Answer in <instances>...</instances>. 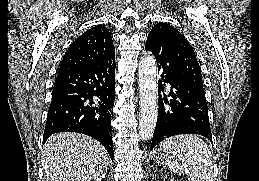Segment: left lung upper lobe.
Listing matches in <instances>:
<instances>
[{"instance_id":"5c2ea615","label":"left lung upper lobe","mask_w":259,"mask_h":181,"mask_svg":"<svg viewBox=\"0 0 259 181\" xmlns=\"http://www.w3.org/2000/svg\"><path fill=\"white\" fill-rule=\"evenodd\" d=\"M146 46L153 49H169L180 77L196 90L204 93L201 68L194 50L185 37L166 23H157L147 37Z\"/></svg>"}]
</instances>
